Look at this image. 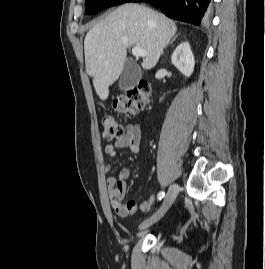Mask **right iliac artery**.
I'll use <instances>...</instances> for the list:
<instances>
[{"mask_svg": "<svg viewBox=\"0 0 265 269\" xmlns=\"http://www.w3.org/2000/svg\"><path fill=\"white\" fill-rule=\"evenodd\" d=\"M165 193L163 191H160L157 196V200H161L164 197Z\"/></svg>", "mask_w": 265, "mask_h": 269, "instance_id": "obj_1", "label": "right iliac artery"}]
</instances>
